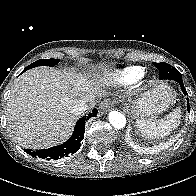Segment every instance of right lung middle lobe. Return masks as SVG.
<instances>
[{
    "instance_id": "right-lung-middle-lobe-1",
    "label": "right lung middle lobe",
    "mask_w": 196,
    "mask_h": 196,
    "mask_svg": "<svg viewBox=\"0 0 196 196\" xmlns=\"http://www.w3.org/2000/svg\"><path fill=\"white\" fill-rule=\"evenodd\" d=\"M58 62H59V59H40V60L33 62L29 66H27L24 70L26 71L28 69H31L37 66H51L52 67V66H55Z\"/></svg>"
}]
</instances>
